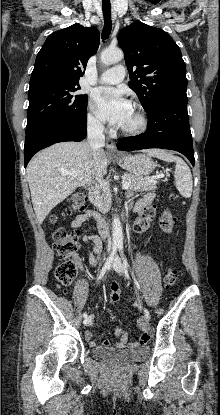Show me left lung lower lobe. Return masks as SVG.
<instances>
[{
    "mask_svg": "<svg viewBox=\"0 0 220 415\" xmlns=\"http://www.w3.org/2000/svg\"><path fill=\"white\" fill-rule=\"evenodd\" d=\"M186 92L159 97L148 108V127L144 134L118 140L117 148L133 151L148 148L175 150L185 155L194 166V150L187 113Z\"/></svg>",
    "mask_w": 220,
    "mask_h": 415,
    "instance_id": "obj_1",
    "label": "left lung lower lobe"
}]
</instances>
